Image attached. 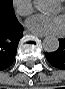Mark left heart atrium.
Masks as SVG:
<instances>
[{"label":"left heart atrium","instance_id":"obj_1","mask_svg":"<svg viewBox=\"0 0 65 89\" xmlns=\"http://www.w3.org/2000/svg\"><path fill=\"white\" fill-rule=\"evenodd\" d=\"M25 27L35 34H60L64 31L65 21L59 15L35 14L25 21Z\"/></svg>","mask_w":65,"mask_h":89}]
</instances>
